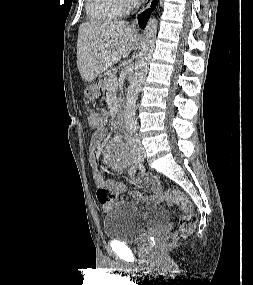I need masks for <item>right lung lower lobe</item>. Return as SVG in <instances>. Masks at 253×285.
<instances>
[{"label":"right lung lower lobe","instance_id":"obj_1","mask_svg":"<svg viewBox=\"0 0 253 285\" xmlns=\"http://www.w3.org/2000/svg\"><path fill=\"white\" fill-rule=\"evenodd\" d=\"M158 1H159V0H153V1H152V4H151V8L148 9V10H146V11H144L143 14H141V15L139 16V26H140L141 28H144V26H145V24L147 23V20H148L150 14H151V11L154 10V8L156 7Z\"/></svg>","mask_w":253,"mask_h":285}]
</instances>
